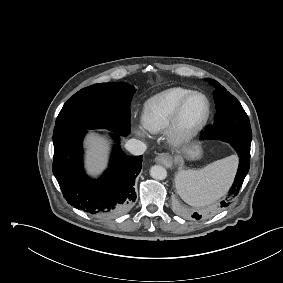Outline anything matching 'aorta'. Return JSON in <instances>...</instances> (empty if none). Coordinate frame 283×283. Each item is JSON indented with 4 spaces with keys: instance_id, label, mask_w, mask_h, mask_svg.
Masks as SVG:
<instances>
[{
    "instance_id": "obj_1",
    "label": "aorta",
    "mask_w": 283,
    "mask_h": 283,
    "mask_svg": "<svg viewBox=\"0 0 283 283\" xmlns=\"http://www.w3.org/2000/svg\"><path fill=\"white\" fill-rule=\"evenodd\" d=\"M150 175L154 179L164 180L167 176V171L164 167H162L160 165H154L150 169Z\"/></svg>"
}]
</instances>
